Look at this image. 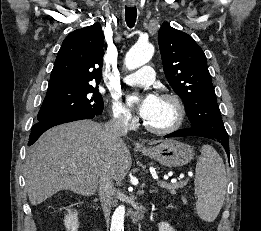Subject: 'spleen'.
Returning a JSON list of instances; mask_svg holds the SVG:
<instances>
[{
  "instance_id": "spleen-1",
  "label": "spleen",
  "mask_w": 261,
  "mask_h": 231,
  "mask_svg": "<svg viewBox=\"0 0 261 231\" xmlns=\"http://www.w3.org/2000/svg\"><path fill=\"white\" fill-rule=\"evenodd\" d=\"M226 187L222 158L212 146H202L195 176V192L198 197L196 210L202 220L212 222L217 218L225 199Z\"/></svg>"
}]
</instances>
